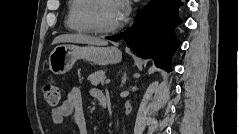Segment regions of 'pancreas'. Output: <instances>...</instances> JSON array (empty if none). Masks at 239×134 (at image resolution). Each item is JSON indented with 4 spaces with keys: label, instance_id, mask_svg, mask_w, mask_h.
<instances>
[{
    "label": "pancreas",
    "instance_id": "obj_1",
    "mask_svg": "<svg viewBox=\"0 0 239 134\" xmlns=\"http://www.w3.org/2000/svg\"><path fill=\"white\" fill-rule=\"evenodd\" d=\"M106 79L105 71L99 70L90 76H88V80L91 82L93 86H98L99 84H104Z\"/></svg>",
    "mask_w": 239,
    "mask_h": 134
}]
</instances>
